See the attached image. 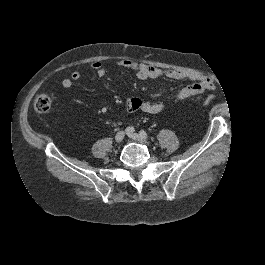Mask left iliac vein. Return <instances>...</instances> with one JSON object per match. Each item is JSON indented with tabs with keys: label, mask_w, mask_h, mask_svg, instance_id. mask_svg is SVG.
I'll list each match as a JSON object with an SVG mask.
<instances>
[{
	"label": "left iliac vein",
	"mask_w": 265,
	"mask_h": 265,
	"mask_svg": "<svg viewBox=\"0 0 265 265\" xmlns=\"http://www.w3.org/2000/svg\"><path fill=\"white\" fill-rule=\"evenodd\" d=\"M128 136H129L132 140L140 141V142L145 143V144H149V141H148V138H147V137H142V136H140V135L137 134V133H130V134H128Z\"/></svg>",
	"instance_id": "obj_1"
}]
</instances>
